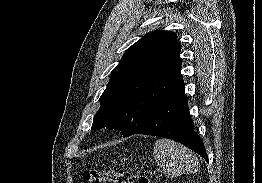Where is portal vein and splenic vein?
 <instances>
[{"instance_id": "1", "label": "portal vein and splenic vein", "mask_w": 262, "mask_h": 183, "mask_svg": "<svg viewBox=\"0 0 262 183\" xmlns=\"http://www.w3.org/2000/svg\"><path fill=\"white\" fill-rule=\"evenodd\" d=\"M157 172L156 171H152L151 174L155 175Z\"/></svg>"}]
</instances>
